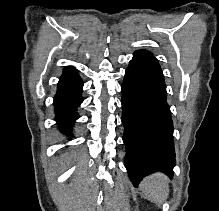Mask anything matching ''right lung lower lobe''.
Segmentation results:
<instances>
[{"instance_id":"1","label":"right lung lower lobe","mask_w":219,"mask_h":211,"mask_svg":"<svg viewBox=\"0 0 219 211\" xmlns=\"http://www.w3.org/2000/svg\"><path fill=\"white\" fill-rule=\"evenodd\" d=\"M83 82L77 70L66 67L58 82L57 93L54 97L55 119L63 133H70L74 120L78 119L76 108L82 103Z\"/></svg>"}]
</instances>
